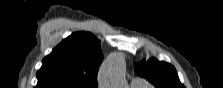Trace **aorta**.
<instances>
[{
    "mask_svg": "<svg viewBox=\"0 0 223 88\" xmlns=\"http://www.w3.org/2000/svg\"><path fill=\"white\" fill-rule=\"evenodd\" d=\"M125 58L121 53H112L103 62L99 72V85L101 88H124Z\"/></svg>",
    "mask_w": 223,
    "mask_h": 88,
    "instance_id": "obj_1",
    "label": "aorta"
}]
</instances>
